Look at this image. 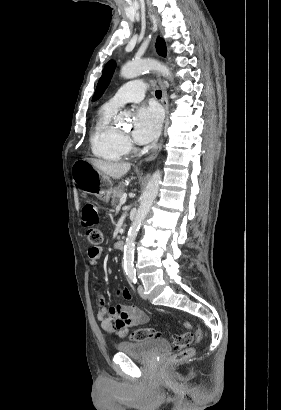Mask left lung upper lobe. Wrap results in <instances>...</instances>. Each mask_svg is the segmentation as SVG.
I'll return each instance as SVG.
<instances>
[{
	"mask_svg": "<svg viewBox=\"0 0 281 410\" xmlns=\"http://www.w3.org/2000/svg\"><path fill=\"white\" fill-rule=\"evenodd\" d=\"M156 50H157L159 55H161V56L166 55L165 42L160 37H158L157 41H156ZM114 69H115V62L114 61H109L105 65L102 76L98 81L96 91L93 95L92 101H96L97 99H99L101 97V95L103 94L104 90L106 89V87L108 86V84L111 80Z\"/></svg>",
	"mask_w": 281,
	"mask_h": 410,
	"instance_id": "obj_1",
	"label": "left lung upper lobe"
}]
</instances>
